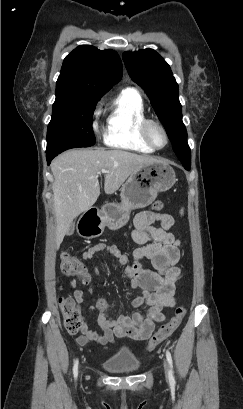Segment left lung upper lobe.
<instances>
[{
    "mask_svg": "<svg viewBox=\"0 0 243 409\" xmlns=\"http://www.w3.org/2000/svg\"><path fill=\"white\" fill-rule=\"evenodd\" d=\"M125 67L134 82L148 95L159 120L183 166H191V152L187 131L182 122L178 84L170 66L152 49L124 52Z\"/></svg>",
    "mask_w": 243,
    "mask_h": 409,
    "instance_id": "left-lung-upper-lobe-1",
    "label": "left lung upper lobe"
}]
</instances>
